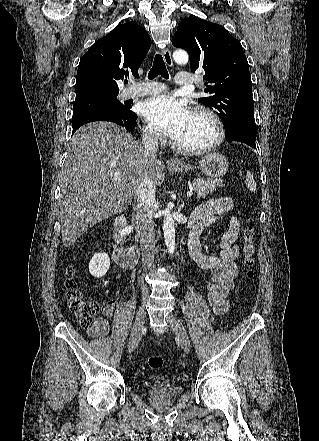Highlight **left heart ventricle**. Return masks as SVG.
<instances>
[{
    "label": "left heart ventricle",
    "mask_w": 319,
    "mask_h": 441,
    "mask_svg": "<svg viewBox=\"0 0 319 441\" xmlns=\"http://www.w3.org/2000/svg\"><path fill=\"white\" fill-rule=\"evenodd\" d=\"M213 137L211 121L203 115L191 114L189 122L175 141L186 147H198L209 143Z\"/></svg>",
    "instance_id": "left-heart-ventricle-1"
}]
</instances>
